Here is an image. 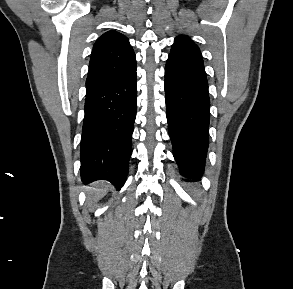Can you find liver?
Segmentation results:
<instances>
[{"mask_svg": "<svg viewBox=\"0 0 293 289\" xmlns=\"http://www.w3.org/2000/svg\"><path fill=\"white\" fill-rule=\"evenodd\" d=\"M109 190V186L104 183H97L95 186L86 187L88 201L93 202L102 198Z\"/></svg>", "mask_w": 293, "mask_h": 289, "instance_id": "1", "label": "liver"}]
</instances>
